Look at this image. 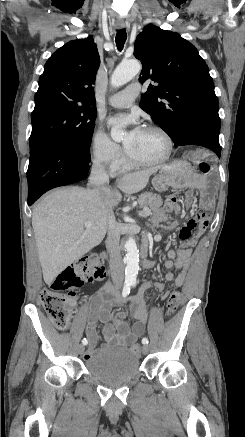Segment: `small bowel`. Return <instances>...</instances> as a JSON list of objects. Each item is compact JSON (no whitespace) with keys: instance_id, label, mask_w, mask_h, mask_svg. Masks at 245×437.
Segmentation results:
<instances>
[{"instance_id":"obj_1","label":"small bowel","mask_w":245,"mask_h":437,"mask_svg":"<svg viewBox=\"0 0 245 437\" xmlns=\"http://www.w3.org/2000/svg\"><path fill=\"white\" fill-rule=\"evenodd\" d=\"M189 160L192 163H202L207 166V157L201 154L198 150H189L187 153ZM193 186L195 189L202 192L201 206L204 209H209L213 204V194L215 187L210 184L204 176L195 178ZM192 197L187 198L186 204L190 206ZM176 212H181L180 206L174 203L170 206ZM166 218L165 211H159L155 216V222L164 221ZM209 215L207 212H201L196 218H191L180 229L179 239L181 248L177 251L170 250L168 252V260L165 261V268L168 272L165 274V280L172 282L175 287H180L186 278L187 269L189 267L190 258L194 246L198 238L204 233L209 225ZM196 230L195 234L192 231ZM154 261L152 260V264ZM172 268L180 270V273L175 276L171 271ZM155 289L166 297L169 293L165 290L162 283L146 282L141 288L138 296L129 301L128 312L134 317L135 322L132 327L125 321L126 311L120 310L115 315L111 312L112 301L109 297L111 290L110 285L104 286L98 291L89 302L90 313L87 319L86 336L89 339V347L85 354L86 358L92 357L96 353V345L98 341L97 323L103 324L102 334L105 339V344L102 349L112 347H126L134 343L140 336L144 334L145 325L148 319L146 294Z\"/></svg>"}]
</instances>
